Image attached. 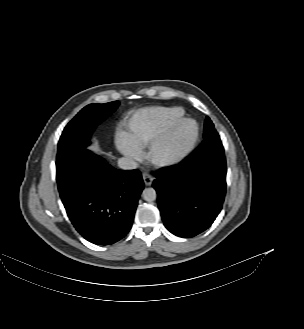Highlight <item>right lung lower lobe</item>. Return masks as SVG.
Returning <instances> with one entry per match:
<instances>
[{"label":"right lung lower lobe","instance_id":"obj_1","mask_svg":"<svg viewBox=\"0 0 304 329\" xmlns=\"http://www.w3.org/2000/svg\"><path fill=\"white\" fill-rule=\"evenodd\" d=\"M61 200L76 230L88 241L110 245L131 229L144 188L138 170H118L86 149L56 162Z\"/></svg>","mask_w":304,"mask_h":329}]
</instances>
